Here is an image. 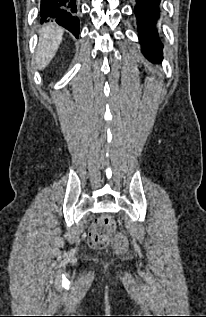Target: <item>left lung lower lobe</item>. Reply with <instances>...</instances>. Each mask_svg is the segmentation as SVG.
<instances>
[{
  "label": "left lung lower lobe",
  "mask_w": 206,
  "mask_h": 317,
  "mask_svg": "<svg viewBox=\"0 0 206 317\" xmlns=\"http://www.w3.org/2000/svg\"><path fill=\"white\" fill-rule=\"evenodd\" d=\"M134 12L138 20L139 40L144 55L151 61L162 60L163 44L155 23L159 17L160 0H136Z\"/></svg>",
  "instance_id": "1"
}]
</instances>
